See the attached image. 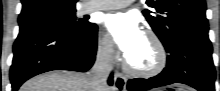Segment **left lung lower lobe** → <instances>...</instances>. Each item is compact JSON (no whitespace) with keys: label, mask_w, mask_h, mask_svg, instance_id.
<instances>
[{"label":"left lung lower lobe","mask_w":220,"mask_h":91,"mask_svg":"<svg viewBox=\"0 0 220 91\" xmlns=\"http://www.w3.org/2000/svg\"><path fill=\"white\" fill-rule=\"evenodd\" d=\"M166 68L150 79H131L129 91H144L183 83L199 91H214L215 69L209 38H183L166 48Z\"/></svg>","instance_id":"1"}]
</instances>
